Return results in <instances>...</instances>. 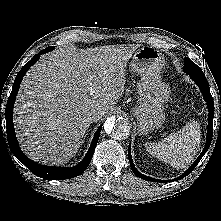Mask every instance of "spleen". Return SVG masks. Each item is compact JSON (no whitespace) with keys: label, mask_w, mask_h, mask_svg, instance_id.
Masks as SVG:
<instances>
[{"label":"spleen","mask_w":221,"mask_h":221,"mask_svg":"<svg viewBox=\"0 0 221 221\" xmlns=\"http://www.w3.org/2000/svg\"><path fill=\"white\" fill-rule=\"evenodd\" d=\"M200 141V126L197 122L191 121L181 130L171 133L162 142L146 143L145 147L157 159L176 169H183L194 160Z\"/></svg>","instance_id":"obj_1"}]
</instances>
